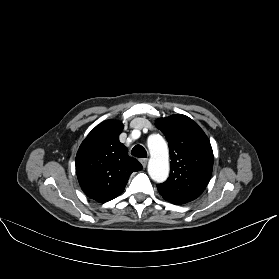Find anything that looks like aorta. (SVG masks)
Masks as SVG:
<instances>
[{
	"instance_id": "762f6f07",
	"label": "aorta",
	"mask_w": 279,
	"mask_h": 279,
	"mask_svg": "<svg viewBox=\"0 0 279 279\" xmlns=\"http://www.w3.org/2000/svg\"><path fill=\"white\" fill-rule=\"evenodd\" d=\"M150 160L148 163L149 176L158 183L164 182L169 175L168 146L159 134L148 138Z\"/></svg>"
}]
</instances>
